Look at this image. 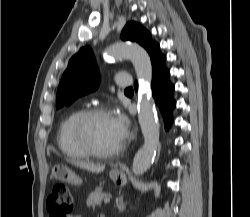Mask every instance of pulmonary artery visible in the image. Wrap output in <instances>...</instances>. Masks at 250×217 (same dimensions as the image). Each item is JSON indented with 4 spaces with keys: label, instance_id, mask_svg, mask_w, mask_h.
Returning <instances> with one entry per match:
<instances>
[{
    "label": "pulmonary artery",
    "instance_id": "obj_1",
    "mask_svg": "<svg viewBox=\"0 0 250 217\" xmlns=\"http://www.w3.org/2000/svg\"><path fill=\"white\" fill-rule=\"evenodd\" d=\"M116 85L120 88H127L131 84V79L125 73H118L115 76Z\"/></svg>",
    "mask_w": 250,
    "mask_h": 217
}]
</instances>
